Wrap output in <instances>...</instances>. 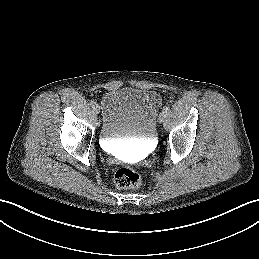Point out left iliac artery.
<instances>
[{
	"label": "left iliac artery",
	"mask_w": 259,
	"mask_h": 259,
	"mask_svg": "<svg viewBox=\"0 0 259 259\" xmlns=\"http://www.w3.org/2000/svg\"><path fill=\"white\" fill-rule=\"evenodd\" d=\"M169 109H170L169 105H165V106L163 107V111H164V112H168Z\"/></svg>",
	"instance_id": "1"
}]
</instances>
